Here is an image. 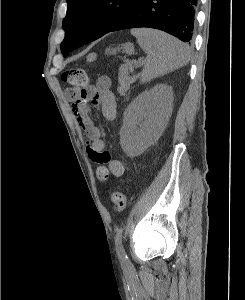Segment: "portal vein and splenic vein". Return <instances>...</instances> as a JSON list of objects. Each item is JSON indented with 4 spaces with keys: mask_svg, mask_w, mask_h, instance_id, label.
Instances as JSON below:
<instances>
[{
    "mask_svg": "<svg viewBox=\"0 0 245 300\" xmlns=\"http://www.w3.org/2000/svg\"><path fill=\"white\" fill-rule=\"evenodd\" d=\"M132 63L135 65H140L142 63V59H139L138 61L133 60Z\"/></svg>",
    "mask_w": 245,
    "mask_h": 300,
    "instance_id": "portal-vein-and-splenic-vein-1",
    "label": "portal vein and splenic vein"
}]
</instances>
